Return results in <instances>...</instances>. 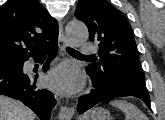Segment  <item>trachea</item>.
Returning <instances> with one entry per match:
<instances>
[{
  "label": "trachea",
  "instance_id": "1",
  "mask_svg": "<svg viewBox=\"0 0 165 120\" xmlns=\"http://www.w3.org/2000/svg\"><path fill=\"white\" fill-rule=\"evenodd\" d=\"M69 54H73V55H81V56H84L83 54H81L79 51L71 48V47H67V50H66Z\"/></svg>",
  "mask_w": 165,
  "mask_h": 120
}]
</instances>
